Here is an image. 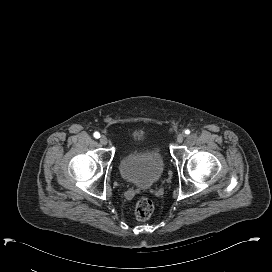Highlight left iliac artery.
Masks as SVG:
<instances>
[{"instance_id":"left-iliac-artery-1","label":"left iliac artery","mask_w":272,"mask_h":272,"mask_svg":"<svg viewBox=\"0 0 272 272\" xmlns=\"http://www.w3.org/2000/svg\"><path fill=\"white\" fill-rule=\"evenodd\" d=\"M185 134H186V135L190 134V130H188V129L185 130Z\"/></svg>"}]
</instances>
